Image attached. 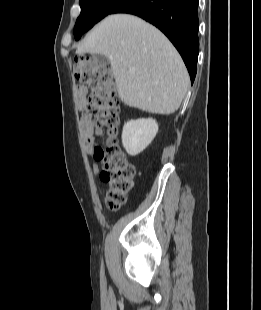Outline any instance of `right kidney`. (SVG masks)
<instances>
[{
    "instance_id": "ca27d5eb",
    "label": "right kidney",
    "mask_w": 261,
    "mask_h": 310,
    "mask_svg": "<svg viewBox=\"0 0 261 310\" xmlns=\"http://www.w3.org/2000/svg\"><path fill=\"white\" fill-rule=\"evenodd\" d=\"M158 132V124L152 118L130 120L124 124L122 144L131 156L141 153L154 139Z\"/></svg>"
}]
</instances>
